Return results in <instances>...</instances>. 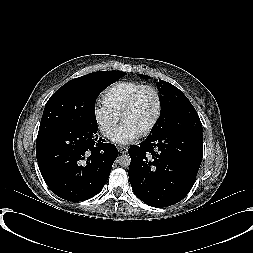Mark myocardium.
<instances>
[{"label": "myocardium", "instance_id": "f54148a6", "mask_svg": "<svg viewBox=\"0 0 253 253\" xmlns=\"http://www.w3.org/2000/svg\"><path fill=\"white\" fill-rule=\"evenodd\" d=\"M146 91H151L155 95L156 101H157V108H156V112H155L152 122L149 124V126L146 129L141 131L142 136L149 135L155 129V127L157 126L159 122V119L162 114V106H163V100H162L160 91L156 87L151 86V85H144L140 87L129 97V99L126 101L120 113V119L121 121H123V118L125 117V115L135 106L139 97Z\"/></svg>", "mask_w": 253, "mask_h": 253}]
</instances>
